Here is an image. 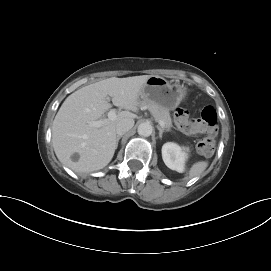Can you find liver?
I'll use <instances>...</instances> for the list:
<instances>
[{
	"label": "liver",
	"instance_id": "obj_1",
	"mask_svg": "<svg viewBox=\"0 0 271 271\" xmlns=\"http://www.w3.org/2000/svg\"><path fill=\"white\" fill-rule=\"evenodd\" d=\"M150 75L127 78L111 77L82 87L69 95L52 125V144L59 161L77 173L103 169L111 161L116 145V125L122 119H134L139 105L140 90ZM113 105L125 109L116 120L101 127L89 122L100 119ZM79 154L74 162L71 156Z\"/></svg>",
	"mask_w": 271,
	"mask_h": 271
}]
</instances>
